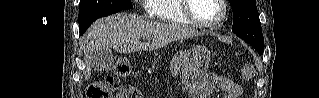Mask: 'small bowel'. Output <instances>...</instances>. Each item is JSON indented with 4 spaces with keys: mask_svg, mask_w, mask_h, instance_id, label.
<instances>
[{
    "mask_svg": "<svg viewBox=\"0 0 319 98\" xmlns=\"http://www.w3.org/2000/svg\"><path fill=\"white\" fill-rule=\"evenodd\" d=\"M174 74H177V69H173ZM208 85L210 90L217 88L226 91V98H238L242 93V87L234 80L224 78L222 76L211 75L208 77Z\"/></svg>",
    "mask_w": 319,
    "mask_h": 98,
    "instance_id": "c3829d8e",
    "label": "small bowel"
}]
</instances>
